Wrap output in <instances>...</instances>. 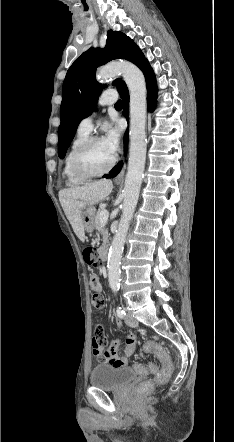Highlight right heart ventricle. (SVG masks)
I'll return each mask as SVG.
<instances>
[{
  "label": "right heart ventricle",
  "instance_id": "obj_1",
  "mask_svg": "<svg viewBox=\"0 0 234 442\" xmlns=\"http://www.w3.org/2000/svg\"><path fill=\"white\" fill-rule=\"evenodd\" d=\"M89 137V134L83 133L80 131H77L75 137L73 138L70 147L67 151L65 162H64V168H63V175L66 179V182L68 185L71 186H77L80 184H83L87 179L82 178L78 176L72 167V157L76 149L82 144L84 140H86Z\"/></svg>",
  "mask_w": 234,
  "mask_h": 442
}]
</instances>
